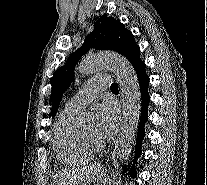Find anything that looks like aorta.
Returning a JSON list of instances; mask_svg holds the SVG:
<instances>
[{
    "mask_svg": "<svg viewBox=\"0 0 207 185\" xmlns=\"http://www.w3.org/2000/svg\"><path fill=\"white\" fill-rule=\"evenodd\" d=\"M109 69L115 72L123 101V121L121 131L110 158L108 175L104 185H120L123 163L129 158L136 137L140 113L141 93L137 75L133 66L123 56L116 53H97L86 56L78 65V72L89 75ZM90 113H81L76 122L79 126L89 125Z\"/></svg>",
    "mask_w": 207,
    "mask_h": 185,
    "instance_id": "1",
    "label": "aorta"
}]
</instances>
